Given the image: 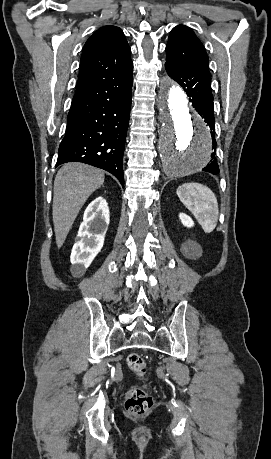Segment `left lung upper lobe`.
<instances>
[{"label":"left lung upper lobe","instance_id":"1","mask_svg":"<svg viewBox=\"0 0 271 459\" xmlns=\"http://www.w3.org/2000/svg\"><path fill=\"white\" fill-rule=\"evenodd\" d=\"M166 63L192 71H208L206 50L194 32L184 25L176 26L169 34Z\"/></svg>","mask_w":271,"mask_h":459}]
</instances>
